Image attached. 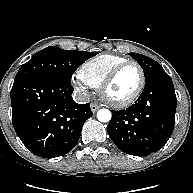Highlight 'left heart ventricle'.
<instances>
[{
	"label": "left heart ventricle",
	"mask_w": 193,
	"mask_h": 193,
	"mask_svg": "<svg viewBox=\"0 0 193 193\" xmlns=\"http://www.w3.org/2000/svg\"><path fill=\"white\" fill-rule=\"evenodd\" d=\"M140 82V74L135 66L123 69L115 78L107 91V95L113 100H124L131 96Z\"/></svg>",
	"instance_id": "1"
}]
</instances>
